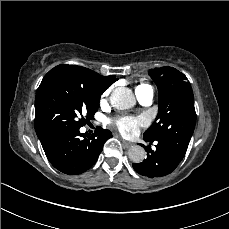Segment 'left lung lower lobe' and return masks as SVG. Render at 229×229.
<instances>
[{
  "label": "left lung lower lobe",
  "mask_w": 229,
  "mask_h": 229,
  "mask_svg": "<svg viewBox=\"0 0 229 229\" xmlns=\"http://www.w3.org/2000/svg\"><path fill=\"white\" fill-rule=\"evenodd\" d=\"M150 142L154 141L144 139ZM156 150L153 151L150 147L147 150V158L142 163H134V170L140 175L155 178L170 174L178 164L182 161L185 153L174 148L166 142L155 141ZM144 147V145L140 144Z\"/></svg>",
  "instance_id": "0a47b994"
}]
</instances>
